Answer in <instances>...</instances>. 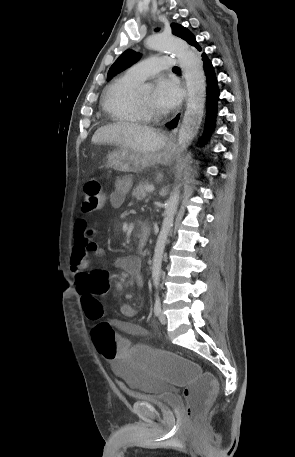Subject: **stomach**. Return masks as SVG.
<instances>
[{
  "label": "stomach",
  "instance_id": "obj_1",
  "mask_svg": "<svg viewBox=\"0 0 295 457\" xmlns=\"http://www.w3.org/2000/svg\"><path fill=\"white\" fill-rule=\"evenodd\" d=\"M171 159L166 151L141 154L127 148H118L108 153L106 167L121 172H138L155 164L167 165Z\"/></svg>",
  "mask_w": 295,
  "mask_h": 457
}]
</instances>
